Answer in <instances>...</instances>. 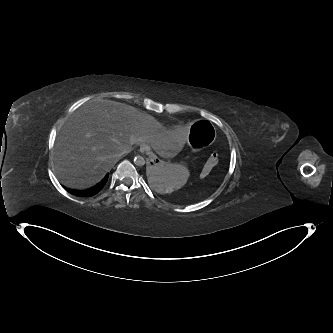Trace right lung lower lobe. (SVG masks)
I'll use <instances>...</instances> for the list:
<instances>
[{
  "label": "right lung lower lobe",
  "instance_id": "98d812e1",
  "mask_svg": "<svg viewBox=\"0 0 333 333\" xmlns=\"http://www.w3.org/2000/svg\"><path fill=\"white\" fill-rule=\"evenodd\" d=\"M108 180V174L105 176V178L102 180L101 183H99L98 185L89 188L87 190H68L71 194L78 196V197H91L94 196L96 194H98L102 188L105 186L106 182Z\"/></svg>",
  "mask_w": 333,
  "mask_h": 333
}]
</instances>
